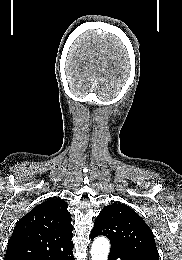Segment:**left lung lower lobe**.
<instances>
[{"instance_id": "left-lung-lower-lobe-1", "label": "left lung lower lobe", "mask_w": 182, "mask_h": 260, "mask_svg": "<svg viewBox=\"0 0 182 260\" xmlns=\"http://www.w3.org/2000/svg\"><path fill=\"white\" fill-rule=\"evenodd\" d=\"M91 238H95L92 237ZM150 260L148 257L141 256V255H135L128 252H122V251H115L110 250L109 259L108 260Z\"/></svg>"}]
</instances>
